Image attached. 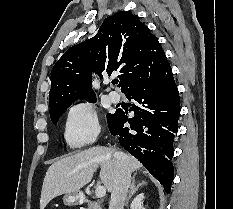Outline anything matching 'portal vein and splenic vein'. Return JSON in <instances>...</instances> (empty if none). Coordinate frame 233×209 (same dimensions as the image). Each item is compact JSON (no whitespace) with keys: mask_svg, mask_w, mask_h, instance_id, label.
Masks as SVG:
<instances>
[{"mask_svg":"<svg viewBox=\"0 0 233 209\" xmlns=\"http://www.w3.org/2000/svg\"><path fill=\"white\" fill-rule=\"evenodd\" d=\"M95 195L97 198H103L106 195V188L105 186H98L95 190Z\"/></svg>","mask_w":233,"mask_h":209,"instance_id":"portal-vein-and-splenic-vein-1","label":"portal vein and splenic vein"}]
</instances>
